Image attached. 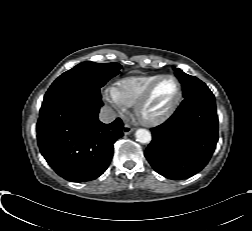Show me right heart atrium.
<instances>
[{"mask_svg":"<svg viewBox=\"0 0 252 231\" xmlns=\"http://www.w3.org/2000/svg\"><path fill=\"white\" fill-rule=\"evenodd\" d=\"M105 98L115 107L119 113H124L127 106L117 97L115 89L106 91Z\"/></svg>","mask_w":252,"mask_h":231,"instance_id":"obj_1","label":"right heart atrium"}]
</instances>
